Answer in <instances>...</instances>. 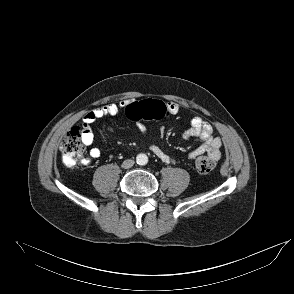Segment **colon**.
Wrapping results in <instances>:
<instances>
[{
    "label": "colon",
    "mask_w": 294,
    "mask_h": 294,
    "mask_svg": "<svg viewBox=\"0 0 294 294\" xmlns=\"http://www.w3.org/2000/svg\"><path fill=\"white\" fill-rule=\"evenodd\" d=\"M125 113L133 121L163 119L170 114L167 105L159 100L129 103L125 108ZM84 148L82 129L72 128L63 137L60 146L64 163L70 167L81 163ZM215 166L216 160L209 155L200 156L196 160V168L201 174L210 173Z\"/></svg>",
    "instance_id": "obj_1"
}]
</instances>
